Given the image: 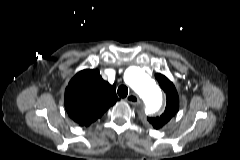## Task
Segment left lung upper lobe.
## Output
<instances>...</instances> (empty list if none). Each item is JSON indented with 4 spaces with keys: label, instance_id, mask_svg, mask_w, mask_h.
Here are the masks:
<instances>
[{
    "label": "left lung upper lobe",
    "instance_id": "obj_1",
    "mask_svg": "<svg viewBox=\"0 0 240 160\" xmlns=\"http://www.w3.org/2000/svg\"><path fill=\"white\" fill-rule=\"evenodd\" d=\"M155 77L166 93V108L161 116L147 117V120L155 129H160L175 116L179 109V98L175 86L166 76L158 73Z\"/></svg>",
    "mask_w": 240,
    "mask_h": 160
}]
</instances>
